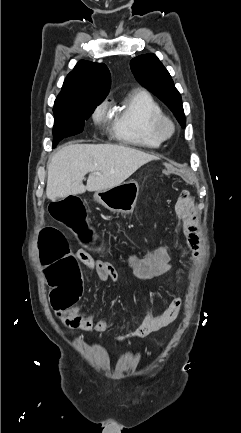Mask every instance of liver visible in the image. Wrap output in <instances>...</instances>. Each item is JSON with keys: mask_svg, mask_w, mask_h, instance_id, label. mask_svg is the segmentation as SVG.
Segmentation results:
<instances>
[{"mask_svg": "<svg viewBox=\"0 0 241 433\" xmlns=\"http://www.w3.org/2000/svg\"><path fill=\"white\" fill-rule=\"evenodd\" d=\"M157 159L154 155L119 145L62 146L48 163L46 196L55 200L86 191L110 189L123 183L144 164ZM87 173L90 174L85 186L82 181Z\"/></svg>", "mask_w": 241, "mask_h": 433, "instance_id": "1", "label": "liver"}]
</instances>
